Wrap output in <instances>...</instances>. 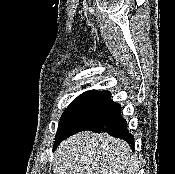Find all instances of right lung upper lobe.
I'll use <instances>...</instances> for the list:
<instances>
[{
  "label": "right lung upper lobe",
  "mask_w": 175,
  "mask_h": 174,
  "mask_svg": "<svg viewBox=\"0 0 175 174\" xmlns=\"http://www.w3.org/2000/svg\"><path fill=\"white\" fill-rule=\"evenodd\" d=\"M93 91H95V90H89V91H86V92H84V93H82V94H91ZM81 94V95H82Z\"/></svg>",
  "instance_id": "right-lung-upper-lobe-1"
}]
</instances>
